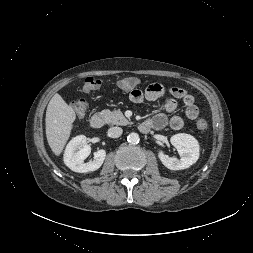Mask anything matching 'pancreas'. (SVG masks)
Wrapping results in <instances>:
<instances>
[{"label": "pancreas", "mask_w": 253, "mask_h": 253, "mask_svg": "<svg viewBox=\"0 0 253 253\" xmlns=\"http://www.w3.org/2000/svg\"><path fill=\"white\" fill-rule=\"evenodd\" d=\"M101 114L103 115L105 122L108 124L127 125L131 123L124 117L123 113L120 110H103Z\"/></svg>", "instance_id": "1"}]
</instances>
